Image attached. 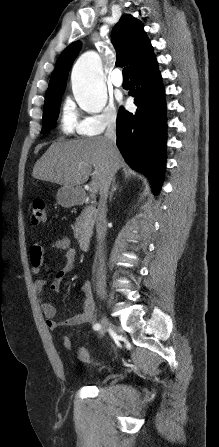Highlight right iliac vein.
<instances>
[{
    "label": "right iliac vein",
    "instance_id": "obj_1",
    "mask_svg": "<svg viewBox=\"0 0 219 447\" xmlns=\"http://www.w3.org/2000/svg\"><path fill=\"white\" fill-rule=\"evenodd\" d=\"M109 326H110L109 320L105 316H103L101 318V328L99 331V335L103 336L106 333V331L108 330Z\"/></svg>",
    "mask_w": 219,
    "mask_h": 447
}]
</instances>
